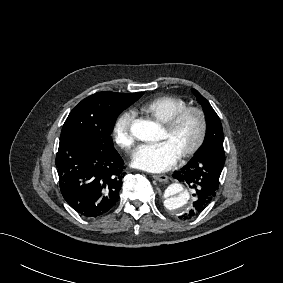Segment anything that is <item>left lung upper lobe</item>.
I'll use <instances>...</instances> for the list:
<instances>
[{"mask_svg":"<svg viewBox=\"0 0 283 283\" xmlns=\"http://www.w3.org/2000/svg\"><path fill=\"white\" fill-rule=\"evenodd\" d=\"M192 91L202 105L207 121L206 137L198 151L207 144H223V129L218 115L209 102L197 90L193 89Z\"/></svg>","mask_w":283,"mask_h":283,"instance_id":"obj_1","label":"left lung upper lobe"}]
</instances>
